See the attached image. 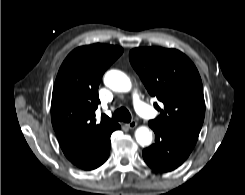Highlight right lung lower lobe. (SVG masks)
Returning <instances> with one entry per match:
<instances>
[{
	"label": "right lung lower lobe",
	"instance_id": "98d812e1",
	"mask_svg": "<svg viewBox=\"0 0 245 195\" xmlns=\"http://www.w3.org/2000/svg\"><path fill=\"white\" fill-rule=\"evenodd\" d=\"M102 149H103V152H102V155H101V158L99 160V164L102 165L108 158L109 156V151H110V138H108L103 146H102Z\"/></svg>",
	"mask_w": 245,
	"mask_h": 195
}]
</instances>
